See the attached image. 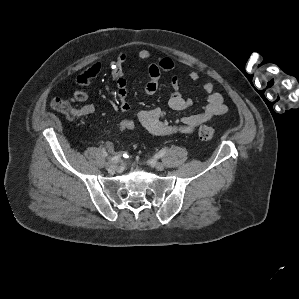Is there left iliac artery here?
Segmentation results:
<instances>
[{"mask_svg": "<svg viewBox=\"0 0 299 299\" xmlns=\"http://www.w3.org/2000/svg\"><path fill=\"white\" fill-rule=\"evenodd\" d=\"M166 152H167V148H163L156 154V157L161 158L166 154Z\"/></svg>", "mask_w": 299, "mask_h": 299, "instance_id": "1", "label": "left iliac artery"}]
</instances>
